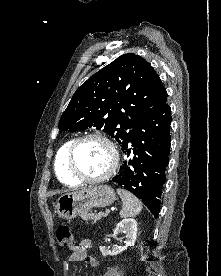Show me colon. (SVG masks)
Instances as JSON below:
<instances>
[{"instance_id":"colon-1","label":"colon","mask_w":221,"mask_h":276,"mask_svg":"<svg viewBox=\"0 0 221 276\" xmlns=\"http://www.w3.org/2000/svg\"><path fill=\"white\" fill-rule=\"evenodd\" d=\"M59 246L72 248L74 244L73 234L67 225H60L56 231Z\"/></svg>"}]
</instances>
